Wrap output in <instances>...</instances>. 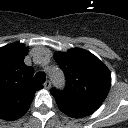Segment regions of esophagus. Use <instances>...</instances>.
<instances>
[{
    "label": "esophagus",
    "instance_id": "34e87169",
    "mask_svg": "<svg viewBox=\"0 0 128 128\" xmlns=\"http://www.w3.org/2000/svg\"><path fill=\"white\" fill-rule=\"evenodd\" d=\"M50 87H51V82L48 80V81H46V82L44 83V88H45V89H50Z\"/></svg>",
    "mask_w": 128,
    "mask_h": 128
}]
</instances>
